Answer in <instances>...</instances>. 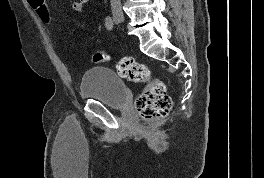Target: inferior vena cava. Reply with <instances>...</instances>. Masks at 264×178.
Segmentation results:
<instances>
[{"mask_svg":"<svg viewBox=\"0 0 264 178\" xmlns=\"http://www.w3.org/2000/svg\"><path fill=\"white\" fill-rule=\"evenodd\" d=\"M111 9L113 13H122L121 0H111Z\"/></svg>","mask_w":264,"mask_h":178,"instance_id":"602c4592","label":"inferior vena cava"}]
</instances>
